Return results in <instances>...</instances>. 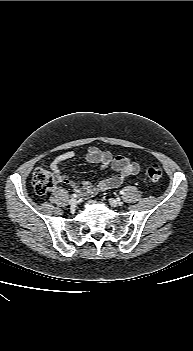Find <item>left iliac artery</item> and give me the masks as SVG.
<instances>
[{
  "instance_id": "1",
  "label": "left iliac artery",
  "mask_w": 193,
  "mask_h": 351,
  "mask_svg": "<svg viewBox=\"0 0 193 351\" xmlns=\"http://www.w3.org/2000/svg\"><path fill=\"white\" fill-rule=\"evenodd\" d=\"M119 193H120L121 195H123V194H124V191H123V190H121Z\"/></svg>"
}]
</instances>
